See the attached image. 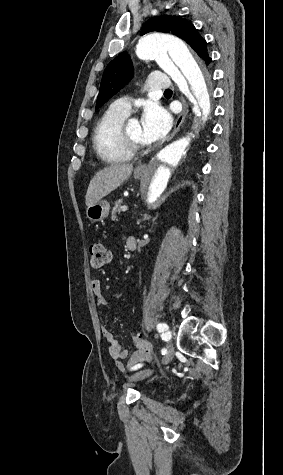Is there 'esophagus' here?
<instances>
[{
    "label": "esophagus",
    "instance_id": "obj_1",
    "mask_svg": "<svg viewBox=\"0 0 283 475\" xmlns=\"http://www.w3.org/2000/svg\"><path fill=\"white\" fill-rule=\"evenodd\" d=\"M180 100H181L183 108H182V111L179 113V115L176 119V122H175V125H174V130H173L169 140H171L176 135V133L178 132L179 128L181 127L183 121L185 120L187 112H188V104H187L185 98L180 97ZM145 168H146L145 165H139L138 167H136L135 171L136 172H142V171L145 170Z\"/></svg>",
    "mask_w": 283,
    "mask_h": 475
}]
</instances>
